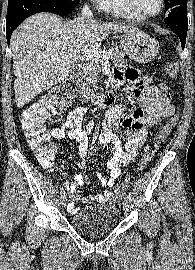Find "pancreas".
<instances>
[{"instance_id":"obj_1","label":"pancreas","mask_w":195,"mask_h":270,"mask_svg":"<svg viewBox=\"0 0 195 270\" xmlns=\"http://www.w3.org/2000/svg\"><path fill=\"white\" fill-rule=\"evenodd\" d=\"M107 53H111L113 55L112 61L114 66L116 67H124L127 65V60L123 52L116 50L114 48H110L106 51ZM104 65V61H93L90 60L86 64H84L81 68L80 76L84 82L93 87H96V84L99 80V74L101 73L102 66Z\"/></svg>"}]
</instances>
